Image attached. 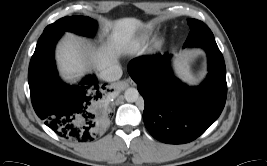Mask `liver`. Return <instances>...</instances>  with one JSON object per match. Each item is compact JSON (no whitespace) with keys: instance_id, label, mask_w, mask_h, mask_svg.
I'll return each mask as SVG.
<instances>
[{"instance_id":"obj_1","label":"liver","mask_w":267,"mask_h":166,"mask_svg":"<svg viewBox=\"0 0 267 166\" xmlns=\"http://www.w3.org/2000/svg\"><path fill=\"white\" fill-rule=\"evenodd\" d=\"M142 23L136 18H122L112 23L113 32L107 45L94 49L90 43H85L73 35L64 38L57 47L56 58L59 69L66 79L81 76L89 64L103 71L117 65L121 54H132L133 39ZM180 77L185 81H192L193 76L186 65L178 68Z\"/></svg>"}]
</instances>
